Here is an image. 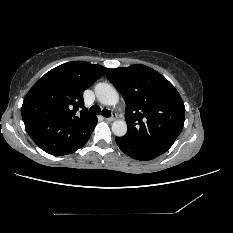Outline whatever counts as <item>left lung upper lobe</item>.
<instances>
[{"mask_svg":"<svg viewBox=\"0 0 233 233\" xmlns=\"http://www.w3.org/2000/svg\"><path fill=\"white\" fill-rule=\"evenodd\" d=\"M106 74L126 102L128 131L123 137L143 149L165 153L184 125L185 106L176 88L141 64L107 69Z\"/></svg>","mask_w":233,"mask_h":233,"instance_id":"5c2ea615","label":"left lung upper lobe"}]
</instances>
